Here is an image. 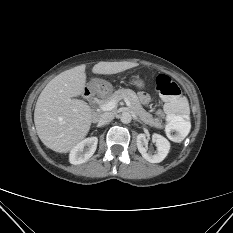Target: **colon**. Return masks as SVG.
<instances>
[{
    "instance_id": "1",
    "label": "colon",
    "mask_w": 233,
    "mask_h": 233,
    "mask_svg": "<svg viewBox=\"0 0 233 233\" xmlns=\"http://www.w3.org/2000/svg\"><path fill=\"white\" fill-rule=\"evenodd\" d=\"M155 87L165 100L167 135L177 142L183 140L189 130V109L186 99L178 85L165 74L156 77Z\"/></svg>"
}]
</instances>
